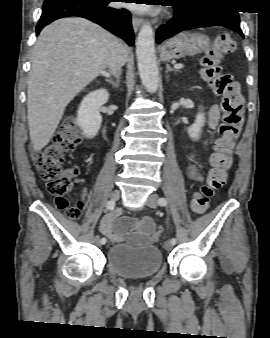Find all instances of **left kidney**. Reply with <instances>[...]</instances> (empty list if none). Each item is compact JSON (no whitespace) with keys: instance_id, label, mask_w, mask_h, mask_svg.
I'll use <instances>...</instances> for the list:
<instances>
[{"instance_id":"left-kidney-1","label":"left kidney","mask_w":270,"mask_h":338,"mask_svg":"<svg viewBox=\"0 0 270 338\" xmlns=\"http://www.w3.org/2000/svg\"><path fill=\"white\" fill-rule=\"evenodd\" d=\"M204 123H205L204 113L199 112L196 116L195 123L187 129V132L191 139L193 140L199 139L201 128L204 126Z\"/></svg>"}]
</instances>
